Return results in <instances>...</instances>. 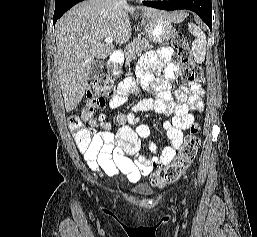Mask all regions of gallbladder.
<instances>
[{"instance_id": "obj_1", "label": "gallbladder", "mask_w": 257, "mask_h": 237, "mask_svg": "<svg viewBox=\"0 0 257 237\" xmlns=\"http://www.w3.org/2000/svg\"><path fill=\"white\" fill-rule=\"evenodd\" d=\"M104 68V63L101 60H96L88 71V79L92 80L96 78Z\"/></svg>"}]
</instances>
